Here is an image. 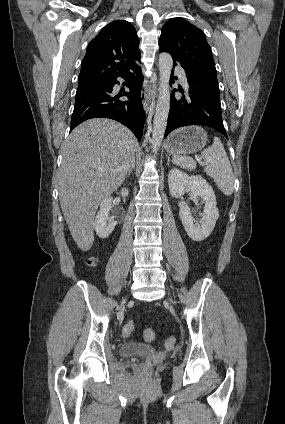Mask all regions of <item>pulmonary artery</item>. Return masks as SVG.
<instances>
[{"label": "pulmonary artery", "mask_w": 285, "mask_h": 424, "mask_svg": "<svg viewBox=\"0 0 285 424\" xmlns=\"http://www.w3.org/2000/svg\"><path fill=\"white\" fill-rule=\"evenodd\" d=\"M175 70H176V72L179 74L181 82H182L184 85H186V84H187V81H186V77H185V75H184V70H183V68H182V67H179V66H176V67H175Z\"/></svg>", "instance_id": "obj_1"}]
</instances>
